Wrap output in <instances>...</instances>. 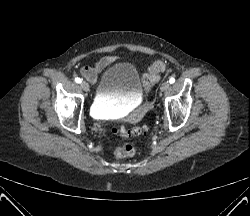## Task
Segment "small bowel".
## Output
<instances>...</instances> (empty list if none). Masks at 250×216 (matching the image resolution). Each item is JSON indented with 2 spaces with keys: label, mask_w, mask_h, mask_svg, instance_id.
<instances>
[{
  "label": "small bowel",
  "mask_w": 250,
  "mask_h": 216,
  "mask_svg": "<svg viewBox=\"0 0 250 216\" xmlns=\"http://www.w3.org/2000/svg\"><path fill=\"white\" fill-rule=\"evenodd\" d=\"M114 57H104L100 59L94 66H84L81 69V75L91 83H95L98 73L114 61Z\"/></svg>",
  "instance_id": "1"
}]
</instances>
